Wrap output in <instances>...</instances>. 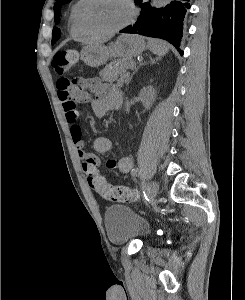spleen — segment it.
<instances>
[{
    "mask_svg": "<svg viewBox=\"0 0 245 300\" xmlns=\"http://www.w3.org/2000/svg\"><path fill=\"white\" fill-rule=\"evenodd\" d=\"M148 48L152 53L157 55L158 60L161 59L168 52L169 46L164 41L158 39H149ZM152 63H154V61H152Z\"/></svg>",
    "mask_w": 245,
    "mask_h": 300,
    "instance_id": "3e777b00",
    "label": "spleen"
}]
</instances>
